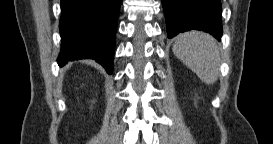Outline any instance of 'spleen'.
Masks as SVG:
<instances>
[{
    "instance_id": "1",
    "label": "spleen",
    "mask_w": 273,
    "mask_h": 144,
    "mask_svg": "<svg viewBox=\"0 0 273 144\" xmlns=\"http://www.w3.org/2000/svg\"><path fill=\"white\" fill-rule=\"evenodd\" d=\"M173 52L205 84L218 78L219 51L215 39L203 32L190 31L177 36Z\"/></svg>"
}]
</instances>
